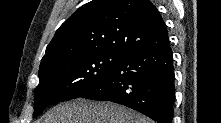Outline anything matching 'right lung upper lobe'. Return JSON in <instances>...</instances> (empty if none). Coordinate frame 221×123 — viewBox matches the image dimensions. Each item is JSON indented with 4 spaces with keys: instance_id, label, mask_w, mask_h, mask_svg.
<instances>
[{
    "instance_id": "cb5924a9",
    "label": "right lung upper lobe",
    "mask_w": 221,
    "mask_h": 123,
    "mask_svg": "<svg viewBox=\"0 0 221 123\" xmlns=\"http://www.w3.org/2000/svg\"><path fill=\"white\" fill-rule=\"evenodd\" d=\"M167 41L166 25L149 0H93L58 28L40 65L83 51L127 54Z\"/></svg>"
}]
</instances>
